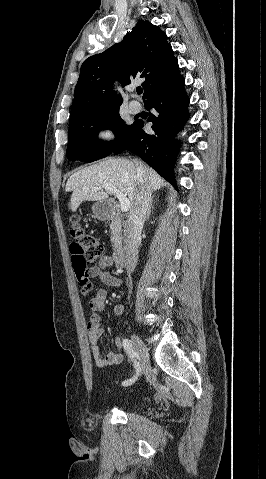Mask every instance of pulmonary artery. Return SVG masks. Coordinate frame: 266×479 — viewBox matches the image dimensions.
I'll return each mask as SVG.
<instances>
[{
	"mask_svg": "<svg viewBox=\"0 0 266 479\" xmlns=\"http://www.w3.org/2000/svg\"><path fill=\"white\" fill-rule=\"evenodd\" d=\"M141 108H142V106L138 101L132 100V101L129 102V110L132 113H138L141 110Z\"/></svg>",
	"mask_w": 266,
	"mask_h": 479,
	"instance_id": "pulmonary-artery-1",
	"label": "pulmonary artery"
}]
</instances>
